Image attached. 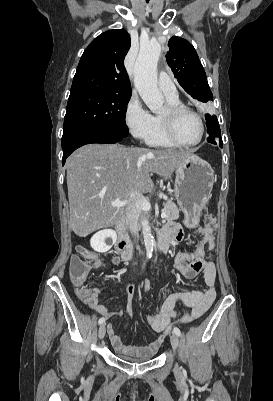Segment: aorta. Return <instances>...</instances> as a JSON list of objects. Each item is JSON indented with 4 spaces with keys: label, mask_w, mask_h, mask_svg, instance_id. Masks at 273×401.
I'll return each instance as SVG.
<instances>
[{
    "label": "aorta",
    "mask_w": 273,
    "mask_h": 401,
    "mask_svg": "<svg viewBox=\"0 0 273 401\" xmlns=\"http://www.w3.org/2000/svg\"><path fill=\"white\" fill-rule=\"evenodd\" d=\"M160 52V44L151 41L140 48L134 65L135 88L147 107L155 114L161 112L164 103L163 95L157 87V62ZM141 224L146 256L151 258L154 250V238L146 216L142 218Z\"/></svg>",
    "instance_id": "762f6f07"
}]
</instances>
